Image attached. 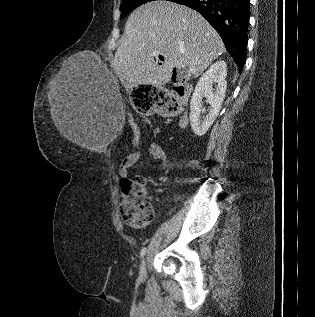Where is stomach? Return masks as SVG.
I'll use <instances>...</instances> for the list:
<instances>
[{"label":"stomach","mask_w":315,"mask_h":317,"mask_svg":"<svg viewBox=\"0 0 315 317\" xmlns=\"http://www.w3.org/2000/svg\"><path fill=\"white\" fill-rule=\"evenodd\" d=\"M152 95H160V88H153V84H134L131 98L136 114H155L158 111L157 97Z\"/></svg>","instance_id":"stomach-1"}]
</instances>
